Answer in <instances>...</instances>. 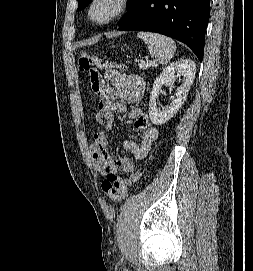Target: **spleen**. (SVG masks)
I'll use <instances>...</instances> for the list:
<instances>
[{"mask_svg":"<svg viewBox=\"0 0 253 271\" xmlns=\"http://www.w3.org/2000/svg\"><path fill=\"white\" fill-rule=\"evenodd\" d=\"M137 37L147 44L150 54L160 64L166 65L173 58L176 44L171 38L152 32H139Z\"/></svg>","mask_w":253,"mask_h":271,"instance_id":"spleen-1","label":"spleen"}]
</instances>
